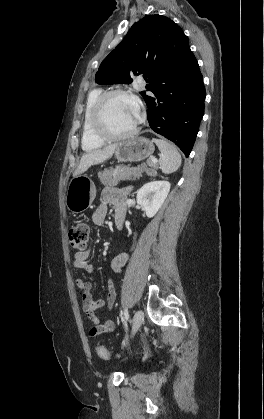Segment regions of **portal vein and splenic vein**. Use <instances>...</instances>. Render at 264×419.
Returning a JSON list of instances; mask_svg holds the SVG:
<instances>
[{
  "label": "portal vein and splenic vein",
  "instance_id": "1",
  "mask_svg": "<svg viewBox=\"0 0 264 419\" xmlns=\"http://www.w3.org/2000/svg\"><path fill=\"white\" fill-rule=\"evenodd\" d=\"M152 162H153V163H156V162H157V159H156V158H153V159H152Z\"/></svg>",
  "mask_w": 264,
  "mask_h": 419
}]
</instances>
